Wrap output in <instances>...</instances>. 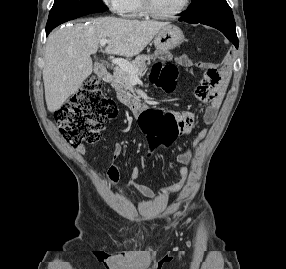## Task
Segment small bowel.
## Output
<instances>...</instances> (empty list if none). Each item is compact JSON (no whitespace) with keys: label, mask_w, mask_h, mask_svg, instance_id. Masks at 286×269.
<instances>
[{"label":"small bowel","mask_w":286,"mask_h":269,"mask_svg":"<svg viewBox=\"0 0 286 269\" xmlns=\"http://www.w3.org/2000/svg\"><path fill=\"white\" fill-rule=\"evenodd\" d=\"M176 62L183 67H190L194 64L193 60L188 55H181L176 58ZM198 65L203 66H212L216 64H209L207 62H198ZM224 69L219 70V81H218V88H200V84L196 88V95L201 100L202 105H205V113H204V122L206 125H212L217 116L220 106L223 101L224 93L226 86L229 82L231 71L229 66L224 63ZM127 88H114V93H127ZM119 99H132V94H119ZM139 112L135 111L134 115L132 116L133 120L139 119ZM171 115L173 116L174 121H177V127L179 129L180 134H185L191 131L194 126L195 122V112L187 111V112H172ZM208 135V129H202L197 137L195 142L198 143L201 139H204ZM81 152H84L83 148H80ZM122 147L120 145H116L113 149L112 158L110 165L106 171V177L108 181L112 185H116L119 181L120 177V166L118 164V159L121 156ZM192 155L189 150H186L180 153L177 158L176 162L181 165L179 168V175L180 179L168 186H162L158 189L157 194L160 196L175 194L181 191L188 179L189 171L186 167L191 161ZM144 162V160H142ZM140 171L139 168L133 167L129 172V180L125 184V189H130L131 187L135 186L136 191L144 197L152 198L155 196L154 191L146 184L138 183L137 179L139 177Z\"/></svg>","instance_id":"c3829d8e"}]
</instances>
